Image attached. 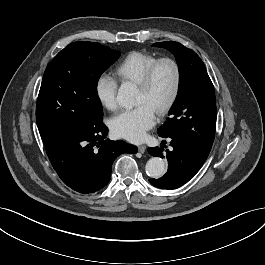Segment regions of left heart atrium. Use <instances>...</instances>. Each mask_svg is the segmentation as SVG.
I'll return each mask as SVG.
<instances>
[{
	"instance_id": "obj_1",
	"label": "left heart atrium",
	"mask_w": 265,
	"mask_h": 265,
	"mask_svg": "<svg viewBox=\"0 0 265 265\" xmlns=\"http://www.w3.org/2000/svg\"><path fill=\"white\" fill-rule=\"evenodd\" d=\"M155 122V112L149 106L139 104L114 116L110 127L116 136L138 143L145 139L147 131Z\"/></svg>"
}]
</instances>
